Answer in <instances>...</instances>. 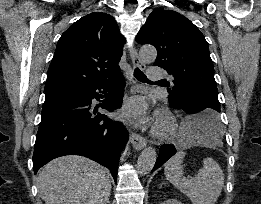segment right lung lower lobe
<instances>
[{
  "label": "right lung lower lobe",
  "instance_id": "98d812e1",
  "mask_svg": "<svg viewBox=\"0 0 261 204\" xmlns=\"http://www.w3.org/2000/svg\"><path fill=\"white\" fill-rule=\"evenodd\" d=\"M124 86L119 71L105 80L46 96L32 158L34 173L54 158L82 155L107 167L116 181L128 133L120 122L97 113L92 100H99L97 90L110 92L100 107L111 112L121 107Z\"/></svg>",
  "mask_w": 261,
  "mask_h": 204
}]
</instances>
